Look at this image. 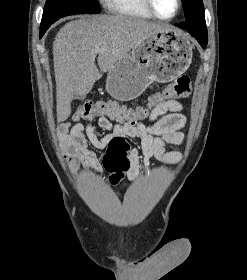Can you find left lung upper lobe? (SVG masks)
<instances>
[{"instance_id":"obj_1","label":"left lung upper lobe","mask_w":247,"mask_h":280,"mask_svg":"<svg viewBox=\"0 0 247 280\" xmlns=\"http://www.w3.org/2000/svg\"><path fill=\"white\" fill-rule=\"evenodd\" d=\"M184 4L185 23H181L187 30L207 36V27L202 0H182Z\"/></svg>"}]
</instances>
